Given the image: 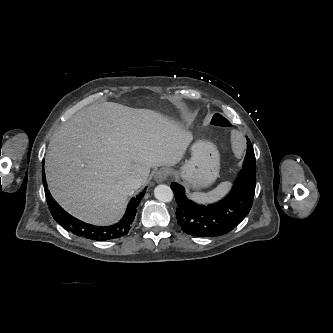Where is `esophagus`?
I'll return each mask as SVG.
<instances>
[{
	"mask_svg": "<svg viewBox=\"0 0 333 333\" xmlns=\"http://www.w3.org/2000/svg\"><path fill=\"white\" fill-rule=\"evenodd\" d=\"M168 175H169V171L165 168H161L160 170H158L155 173L154 178L158 183H161V182H164L166 180Z\"/></svg>",
	"mask_w": 333,
	"mask_h": 333,
	"instance_id": "esophagus-1",
	"label": "esophagus"
}]
</instances>
